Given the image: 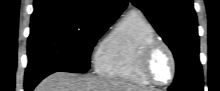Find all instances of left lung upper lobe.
<instances>
[{
  "label": "left lung upper lobe",
  "instance_id": "1",
  "mask_svg": "<svg viewBox=\"0 0 220 91\" xmlns=\"http://www.w3.org/2000/svg\"><path fill=\"white\" fill-rule=\"evenodd\" d=\"M174 54L176 75L170 91H202L197 17L192 0H130Z\"/></svg>",
  "mask_w": 220,
  "mask_h": 91
}]
</instances>
